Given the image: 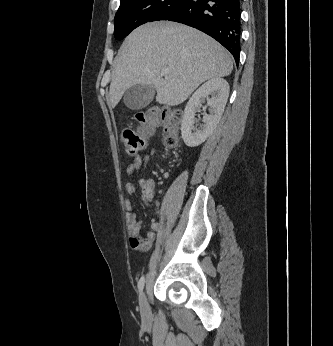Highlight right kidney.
Here are the masks:
<instances>
[{
	"mask_svg": "<svg viewBox=\"0 0 333 346\" xmlns=\"http://www.w3.org/2000/svg\"><path fill=\"white\" fill-rule=\"evenodd\" d=\"M229 84L223 78H213L199 87L190 97L184 111L181 135L188 147L202 144L213 132L224 112L229 96ZM212 96L209 98V96ZM207 99L209 114L203 117L204 124L199 129L194 127L195 113ZM206 109V107H204Z\"/></svg>",
	"mask_w": 333,
	"mask_h": 346,
	"instance_id": "ca27d5eb",
	"label": "right kidney"
}]
</instances>
